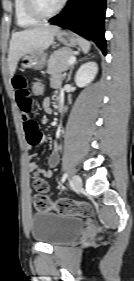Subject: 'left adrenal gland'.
Instances as JSON below:
<instances>
[{"mask_svg":"<svg viewBox=\"0 0 134 281\" xmlns=\"http://www.w3.org/2000/svg\"><path fill=\"white\" fill-rule=\"evenodd\" d=\"M77 63V61L74 63V65ZM74 65L71 66V69H70V72L68 74V78H67V82L71 79V74H72V71L74 69Z\"/></svg>","mask_w":134,"mask_h":281,"instance_id":"1","label":"left adrenal gland"}]
</instances>
